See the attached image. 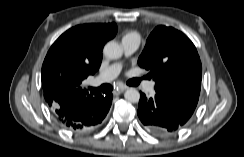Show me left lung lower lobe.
<instances>
[{
    "instance_id": "1",
    "label": "left lung lower lobe",
    "mask_w": 244,
    "mask_h": 157,
    "mask_svg": "<svg viewBox=\"0 0 244 157\" xmlns=\"http://www.w3.org/2000/svg\"><path fill=\"white\" fill-rule=\"evenodd\" d=\"M137 114L150 132L164 137L177 133L187 122L159 95L146 97L141 93Z\"/></svg>"
}]
</instances>
